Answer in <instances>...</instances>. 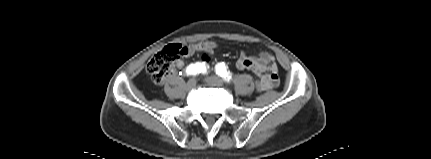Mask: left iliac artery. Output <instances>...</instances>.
<instances>
[{
  "label": "left iliac artery",
  "instance_id": "44dca946",
  "mask_svg": "<svg viewBox=\"0 0 431 159\" xmlns=\"http://www.w3.org/2000/svg\"><path fill=\"white\" fill-rule=\"evenodd\" d=\"M216 74H218L221 78H223L224 81L230 82L231 81V75L229 74V71L227 70V66L222 62L218 63L215 67Z\"/></svg>",
  "mask_w": 431,
  "mask_h": 159
}]
</instances>
